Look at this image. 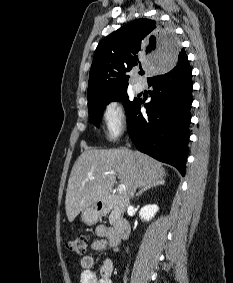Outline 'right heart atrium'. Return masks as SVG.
<instances>
[{"label":"right heart atrium","mask_w":233,"mask_h":283,"mask_svg":"<svg viewBox=\"0 0 233 283\" xmlns=\"http://www.w3.org/2000/svg\"><path fill=\"white\" fill-rule=\"evenodd\" d=\"M102 123L104 136L107 140L117 139L125 130L126 118L120 102L110 100L102 109Z\"/></svg>","instance_id":"d8ad5b80"}]
</instances>
